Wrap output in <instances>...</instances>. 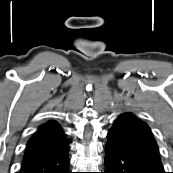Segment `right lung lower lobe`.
Returning a JSON list of instances; mask_svg holds the SVG:
<instances>
[{
    "label": "right lung lower lobe",
    "instance_id": "1",
    "mask_svg": "<svg viewBox=\"0 0 173 173\" xmlns=\"http://www.w3.org/2000/svg\"><path fill=\"white\" fill-rule=\"evenodd\" d=\"M68 143L49 150L24 155L19 173H70Z\"/></svg>",
    "mask_w": 173,
    "mask_h": 173
}]
</instances>
